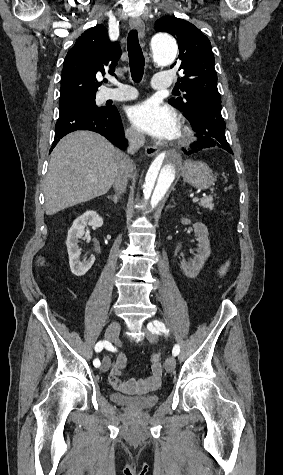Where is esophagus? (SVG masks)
<instances>
[{
  "label": "esophagus",
  "mask_w": 283,
  "mask_h": 475,
  "mask_svg": "<svg viewBox=\"0 0 283 475\" xmlns=\"http://www.w3.org/2000/svg\"><path fill=\"white\" fill-rule=\"evenodd\" d=\"M130 27L137 30L140 38H143L145 35V24L141 18H130L129 20ZM159 152V148L156 146H148L145 148V153L148 157H153ZM172 156V155H171ZM176 161H180L178 155L174 157Z\"/></svg>",
  "instance_id": "1"
}]
</instances>
